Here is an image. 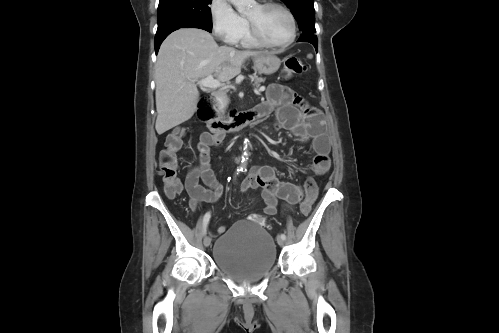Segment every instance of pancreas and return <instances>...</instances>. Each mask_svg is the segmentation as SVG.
Masks as SVG:
<instances>
[{"label": "pancreas", "instance_id": "obj_1", "mask_svg": "<svg viewBox=\"0 0 499 333\" xmlns=\"http://www.w3.org/2000/svg\"><path fill=\"white\" fill-rule=\"evenodd\" d=\"M249 77H250V79H251L252 81H254V84H253V85H254L256 88H259V87H260V84H261L262 82H264V81H265V79H264V78H262V77H258L257 75H250Z\"/></svg>", "mask_w": 499, "mask_h": 333}]
</instances>
